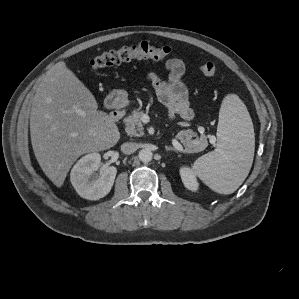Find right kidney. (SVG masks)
I'll list each match as a JSON object with an SVG mask.
<instances>
[{"label": "right kidney", "instance_id": "obj_1", "mask_svg": "<svg viewBox=\"0 0 299 299\" xmlns=\"http://www.w3.org/2000/svg\"><path fill=\"white\" fill-rule=\"evenodd\" d=\"M100 165L101 156L94 152L83 156L73 166L70 181L80 197L98 200L110 192L117 169L110 166L97 173Z\"/></svg>", "mask_w": 299, "mask_h": 299}]
</instances>
